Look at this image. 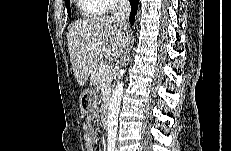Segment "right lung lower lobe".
Wrapping results in <instances>:
<instances>
[{"label":"right lung lower lobe","instance_id":"98d812e1","mask_svg":"<svg viewBox=\"0 0 231 151\" xmlns=\"http://www.w3.org/2000/svg\"><path fill=\"white\" fill-rule=\"evenodd\" d=\"M130 1V4H131V14H130V23L131 25L134 24L135 22V15L137 13V8H138V3L139 1L137 0H129Z\"/></svg>","mask_w":231,"mask_h":151}]
</instances>
